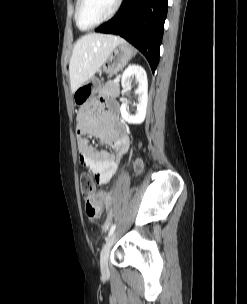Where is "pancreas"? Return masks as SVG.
Returning a JSON list of instances; mask_svg holds the SVG:
<instances>
[{
  "instance_id": "pancreas-1",
  "label": "pancreas",
  "mask_w": 247,
  "mask_h": 304,
  "mask_svg": "<svg viewBox=\"0 0 247 304\" xmlns=\"http://www.w3.org/2000/svg\"><path fill=\"white\" fill-rule=\"evenodd\" d=\"M120 86L118 82L107 81L104 86L99 87L98 92L101 96L117 97L119 95Z\"/></svg>"
}]
</instances>
